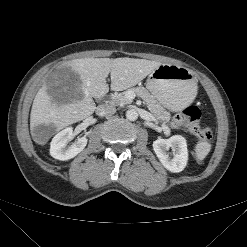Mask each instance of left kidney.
Here are the masks:
<instances>
[{
	"instance_id": "5707ae66",
	"label": "left kidney",
	"mask_w": 247,
	"mask_h": 247,
	"mask_svg": "<svg viewBox=\"0 0 247 247\" xmlns=\"http://www.w3.org/2000/svg\"><path fill=\"white\" fill-rule=\"evenodd\" d=\"M170 148L172 154L168 152ZM153 149L162 165L170 172H181L187 165V143L186 139L180 135L169 139H157L153 142Z\"/></svg>"
}]
</instances>
